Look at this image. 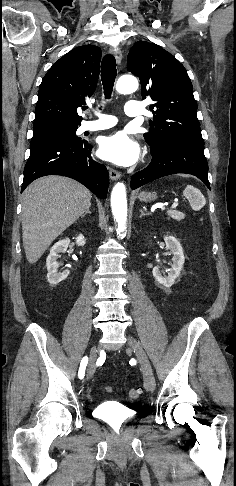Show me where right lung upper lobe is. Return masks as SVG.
<instances>
[{"label":"right lung upper lobe","mask_w":236,"mask_h":486,"mask_svg":"<svg viewBox=\"0 0 236 486\" xmlns=\"http://www.w3.org/2000/svg\"><path fill=\"white\" fill-rule=\"evenodd\" d=\"M101 55L97 46H81L52 65L39 88L33 126L81 123L77 109L96 89Z\"/></svg>","instance_id":"cb5924a9"}]
</instances>
